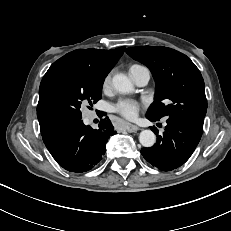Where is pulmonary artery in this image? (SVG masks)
Masks as SVG:
<instances>
[{
	"label": "pulmonary artery",
	"mask_w": 231,
	"mask_h": 231,
	"mask_svg": "<svg viewBox=\"0 0 231 231\" xmlns=\"http://www.w3.org/2000/svg\"><path fill=\"white\" fill-rule=\"evenodd\" d=\"M130 77L137 86H145L150 79V71L144 67H133L129 70Z\"/></svg>",
	"instance_id": "1"
}]
</instances>
